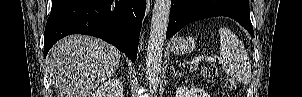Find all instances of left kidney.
<instances>
[{
	"label": "left kidney",
	"mask_w": 302,
	"mask_h": 97,
	"mask_svg": "<svg viewBox=\"0 0 302 97\" xmlns=\"http://www.w3.org/2000/svg\"><path fill=\"white\" fill-rule=\"evenodd\" d=\"M176 97H209V94L200 88L191 86L189 89L186 86H180L176 90Z\"/></svg>",
	"instance_id": "5707ae66"
}]
</instances>
